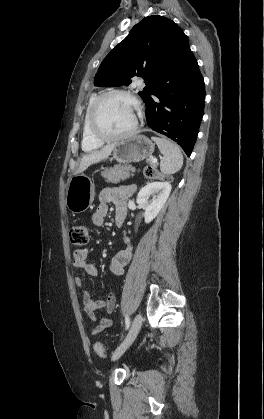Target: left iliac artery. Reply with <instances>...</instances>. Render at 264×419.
I'll list each match as a JSON object with an SVG mask.
<instances>
[{
	"mask_svg": "<svg viewBox=\"0 0 264 419\" xmlns=\"http://www.w3.org/2000/svg\"><path fill=\"white\" fill-rule=\"evenodd\" d=\"M125 325H126V329H128L130 326V320L128 316H125Z\"/></svg>",
	"mask_w": 264,
	"mask_h": 419,
	"instance_id": "44dca946",
	"label": "left iliac artery"
}]
</instances>
